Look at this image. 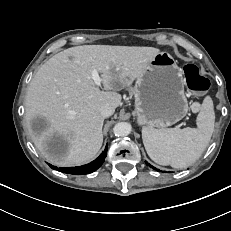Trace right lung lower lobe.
I'll use <instances>...</instances> for the list:
<instances>
[{
	"label": "right lung lower lobe",
	"mask_w": 231,
	"mask_h": 231,
	"mask_svg": "<svg viewBox=\"0 0 231 231\" xmlns=\"http://www.w3.org/2000/svg\"><path fill=\"white\" fill-rule=\"evenodd\" d=\"M107 146L105 150L100 154L98 158H96L94 161H92L89 164L83 165V166H78V167H65V168H57L56 166L50 165L51 168L54 170H58L63 173L67 174H74V175H84V174H89L94 171H96L105 161L106 155H107Z\"/></svg>",
	"instance_id": "1"
}]
</instances>
